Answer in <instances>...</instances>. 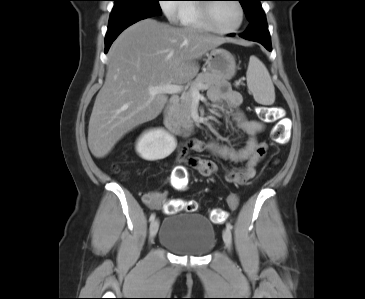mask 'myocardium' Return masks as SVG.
<instances>
[{
    "label": "myocardium",
    "instance_id": "myocardium-1",
    "mask_svg": "<svg viewBox=\"0 0 365 299\" xmlns=\"http://www.w3.org/2000/svg\"><path fill=\"white\" fill-rule=\"evenodd\" d=\"M206 1H213V0H206ZM234 2L237 4L240 10V21L235 27L228 29L218 28L214 25V19L212 15L214 2H206L204 4H201L202 19L209 31L217 34H231L237 32L242 27L245 21V9L240 0H234Z\"/></svg>",
    "mask_w": 365,
    "mask_h": 299
}]
</instances>
